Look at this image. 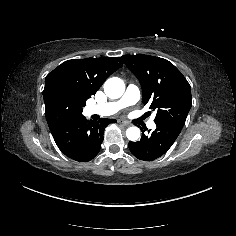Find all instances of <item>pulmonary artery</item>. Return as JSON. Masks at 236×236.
<instances>
[{"label": "pulmonary artery", "mask_w": 236, "mask_h": 236, "mask_svg": "<svg viewBox=\"0 0 236 236\" xmlns=\"http://www.w3.org/2000/svg\"><path fill=\"white\" fill-rule=\"evenodd\" d=\"M140 99V91L134 85H129L124 95L115 102L104 104H88L85 108L88 114H97L100 116H112L118 113L124 107L135 104ZM154 122L148 123L149 128H154Z\"/></svg>", "instance_id": "e3ab8cb5"}]
</instances>
